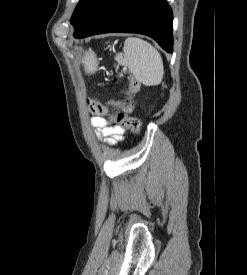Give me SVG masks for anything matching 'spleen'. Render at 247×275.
<instances>
[{
  "mask_svg": "<svg viewBox=\"0 0 247 275\" xmlns=\"http://www.w3.org/2000/svg\"><path fill=\"white\" fill-rule=\"evenodd\" d=\"M119 65L128 68L137 81L145 86L160 84L164 66L160 53L147 41L137 37L125 40L123 53L115 56Z\"/></svg>",
  "mask_w": 247,
  "mask_h": 275,
  "instance_id": "obj_1",
  "label": "spleen"
}]
</instances>
